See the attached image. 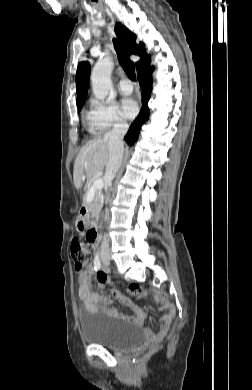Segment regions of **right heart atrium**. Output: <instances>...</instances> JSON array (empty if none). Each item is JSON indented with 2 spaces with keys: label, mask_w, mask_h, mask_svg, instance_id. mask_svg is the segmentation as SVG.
<instances>
[{
  "label": "right heart atrium",
  "mask_w": 252,
  "mask_h": 390,
  "mask_svg": "<svg viewBox=\"0 0 252 390\" xmlns=\"http://www.w3.org/2000/svg\"><path fill=\"white\" fill-rule=\"evenodd\" d=\"M88 120L91 129L97 132H106L127 127L126 119L114 104L105 103L96 99L90 102Z\"/></svg>",
  "instance_id": "d8ad5b80"
}]
</instances>
